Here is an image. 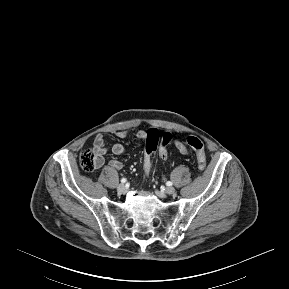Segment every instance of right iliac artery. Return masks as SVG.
<instances>
[{
  "label": "right iliac artery",
  "instance_id": "82829eb1",
  "mask_svg": "<svg viewBox=\"0 0 289 289\" xmlns=\"http://www.w3.org/2000/svg\"><path fill=\"white\" fill-rule=\"evenodd\" d=\"M126 182V179L125 178H122L121 179V183H125Z\"/></svg>",
  "mask_w": 289,
  "mask_h": 289
}]
</instances>
